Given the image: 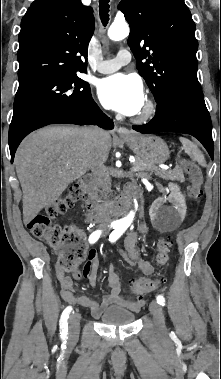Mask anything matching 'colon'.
I'll list each match as a JSON object with an SVG mask.
<instances>
[{
	"label": "colon",
	"instance_id": "obj_1",
	"mask_svg": "<svg viewBox=\"0 0 221 379\" xmlns=\"http://www.w3.org/2000/svg\"><path fill=\"white\" fill-rule=\"evenodd\" d=\"M183 171L189 180L188 195L192 201H199L203 195V173L191 161L181 162ZM88 200V193L78 184L70 187L65 196L50 204L42 213L33 217L28 223L31 233L47 241L59 249L58 268L63 271L76 270L78 265L89 257L86 249L84 232L74 225H59L52 223L53 217L63 215L72 209L76 203ZM172 241L169 237L159 239L156 245V259L160 265L169 262ZM159 281L145 277L136 278L132 282V291L139 297L155 291Z\"/></svg>",
	"mask_w": 221,
	"mask_h": 379
}]
</instances>
